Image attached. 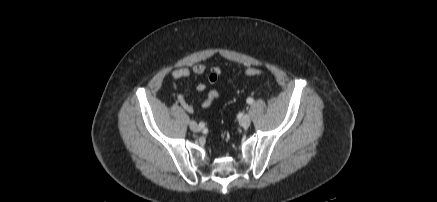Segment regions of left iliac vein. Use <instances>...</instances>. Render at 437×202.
<instances>
[{
  "label": "left iliac vein",
  "mask_w": 437,
  "mask_h": 202,
  "mask_svg": "<svg viewBox=\"0 0 437 202\" xmlns=\"http://www.w3.org/2000/svg\"><path fill=\"white\" fill-rule=\"evenodd\" d=\"M251 123V118L249 115H244L241 119H240V125L243 128H248L250 126Z\"/></svg>",
  "instance_id": "obj_1"
}]
</instances>
